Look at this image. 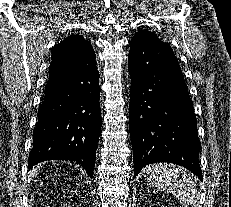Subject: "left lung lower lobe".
Here are the masks:
<instances>
[{
  "instance_id": "0a47b994",
  "label": "left lung lower lobe",
  "mask_w": 231,
  "mask_h": 207,
  "mask_svg": "<svg viewBox=\"0 0 231 207\" xmlns=\"http://www.w3.org/2000/svg\"><path fill=\"white\" fill-rule=\"evenodd\" d=\"M129 128L134 177L151 163L181 165L203 179L193 102L167 43L130 41Z\"/></svg>"
}]
</instances>
